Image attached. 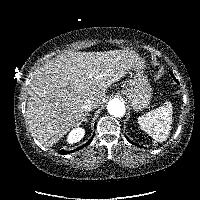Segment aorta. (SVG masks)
Listing matches in <instances>:
<instances>
[{"mask_svg":"<svg viewBox=\"0 0 200 200\" xmlns=\"http://www.w3.org/2000/svg\"><path fill=\"white\" fill-rule=\"evenodd\" d=\"M108 112L115 117H122L125 114V105L118 99H112L107 105Z\"/></svg>","mask_w":200,"mask_h":200,"instance_id":"obj_1","label":"aorta"}]
</instances>
